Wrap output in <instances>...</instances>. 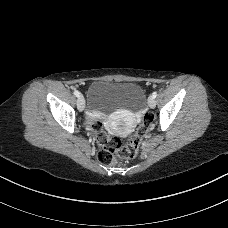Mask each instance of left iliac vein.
I'll return each instance as SVG.
<instances>
[{
  "instance_id": "4c4485c4",
  "label": "left iliac vein",
  "mask_w": 228,
  "mask_h": 228,
  "mask_svg": "<svg viewBox=\"0 0 228 228\" xmlns=\"http://www.w3.org/2000/svg\"><path fill=\"white\" fill-rule=\"evenodd\" d=\"M148 105L150 108H154L156 106V100L153 96L148 98Z\"/></svg>"
}]
</instances>
